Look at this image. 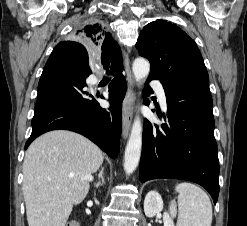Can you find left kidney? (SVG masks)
<instances>
[{
  "instance_id": "1",
  "label": "left kidney",
  "mask_w": 247,
  "mask_h": 226,
  "mask_svg": "<svg viewBox=\"0 0 247 226\" xmlns=\"http://www.w3.org/2000/svg\"><path fill=\"white\" fill-rule=\"evenodd\" d=\"M163 210V200L157 191H150L147 193L144 200V212L149 218L154 217L156 214ZM164 226H175L170 215L165 212L163 214Z\"/></svg>"
}]
</instances>
